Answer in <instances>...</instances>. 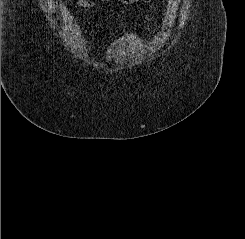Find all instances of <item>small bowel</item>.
Instances as JSON below:
<instances>
[{"label": "small bowel", "mask_w": 245, "mask_h": 239, "mask_svg": "<svg viewBox=\"0 0 245 239\" xmlns=\"http://www.w3.org/2000/svg\"><path fill=\"white\" fill-rule=\"evenodd\" d=\"M78 5L83 8H92L94 7V2L91 0H78Z\"/></svg>", "instance_id": "c3829d8e"}]
</instances>
